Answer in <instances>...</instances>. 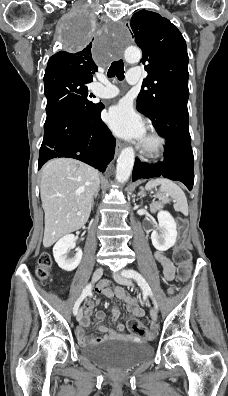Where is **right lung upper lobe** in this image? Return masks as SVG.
<instances>
[{
    "label": "right lung upper lobe",
    "mask_w": 228,
    "mask_h": 396,
    "mask_svg": "<svg viewBox=\"0 0 228 396\" xmlns=\"http://www.w3.org/2000/svg\"><path fill=\"white\" fill-rule=\"evenodd\" d=\"M91 49L92 42L75 53L66 51L56 53L49 59L44 77L70 75L91 82L92 75L97 70Z\"/></svg>",
    "instance_id": "cb5924a9"
}]
</instances>
